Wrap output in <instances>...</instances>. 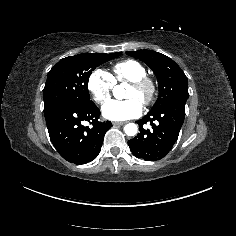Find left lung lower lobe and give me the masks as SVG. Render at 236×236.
I'll return each mask as SVG.
<instances>
[{"label": "left lung lower lobe", "mask_w": 236, "mask_h": 236, "mask_svg": "<svg viewBox=\"0 0 236 236\" xmlns=\"http://www.w3.org/2000/svg\"><path fill=\"white\" fill-rule=\"evenodd\" d=\"M185 103L184 99L173 100L137 121L140 132L128 141L137 158L145 161L160 160L172 149L184 122ZM146 123L152 126L151 130L143 128Z\"/></svg>", "instance_id": "1"}]
</instances>
